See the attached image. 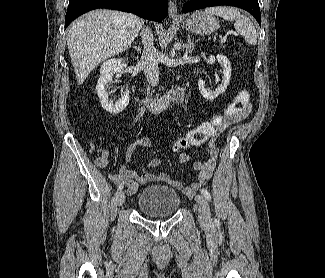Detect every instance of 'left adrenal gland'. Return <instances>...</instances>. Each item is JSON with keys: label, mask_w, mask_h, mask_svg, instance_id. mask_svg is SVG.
Wrapping results in <instances>:
<instances>
[{"label": "left adrenal gland", "mask_w": 325, "mask_h": 278, "mask_svg": "<svg viewBox=\"0 0 325 278\" xmlns=\"http://www.w3.org/2000/svg\"><path fill=\"white\" fill-rule=\"evenodd\" d=\"M198 42V40H196L195 42L191 39L190 35H188L187 37V46H186V51L187 53L192 54L194 47L196 45V43Z\"/></svg>", "instance_id": "obj_1"}]
</instances>
